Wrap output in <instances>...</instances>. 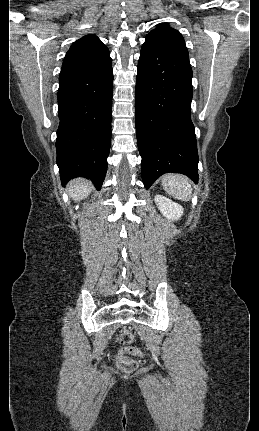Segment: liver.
<instances>
[{"mask_svg":"<svg viewBox=\"0 0 259 431\" xmlns=\"http://www.w3.org/2000/svg\"><path fill=\"white\" fill-rule=\"evenodd\" d=\"M92 190V185L84 179L73 180L68 188L70 196L75 201H80L87 197Z\"/></svg>","mask_w":259,"mask_h":431,"instance_id":"liver-1","label":"liver"}]
</instances>
